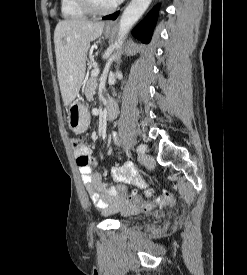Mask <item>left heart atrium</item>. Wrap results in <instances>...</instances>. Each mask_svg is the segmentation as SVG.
<instances>
[{
  "instance_id": "1",
  "label": "left heart atrium",
  "mask_w": 247,
  "mask_h": 275,
  "mask_svg": "<svg viewBox=\"0 0 247 275\" xmlns=\"http://www.w3.org/2000/svg\"><path fill=\"white\" fill-rule=\"evenodd\" d=\"M115 1V3H119V2H121L122 0H114Z\"/></svg>"
}]
</instances>
